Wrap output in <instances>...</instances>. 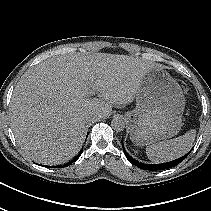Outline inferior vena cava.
<instances>
[{"label":"inferior vena cava","instance_id":"602c4592","mask_svg":"<svg viewBox=\"0 0 211 211\" xmlns=\"http://www.w3.org/2000/svg\"><path fill=\"white\" fill-rule=\"evenodd\" d=\"M95 119H96L95 116H87L86 117L87 122L92 121V120H95Z\"/></svg>","mask_w":211,"mask_h":211}]
</instances>
